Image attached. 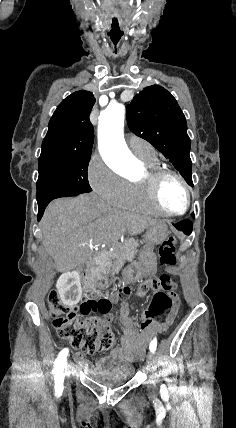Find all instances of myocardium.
Wrapping results in <instances>:
<instances>
[{
	"instance_id": "f54148a6",
	"label": "myocardium",
	"mask_w": 236,
	"mask_h": 428,
	"mask_svg": "<svg viewBox=\"0 0 236 428\" xmlns=\"http://www.w3.org/2000/svg\"><path fill=\"white\" fill-rule=\"evenodd\" d=\"M168 179L178 181L185 190L186 203L182 210L168 208L162 199L161 188L163 183ZM143 180L151 203L165 216H180L189 210L192 202V192L189 183L182 175L166 168H160L155 172L147 173Z\"/></svg>"
}]
</instances>
